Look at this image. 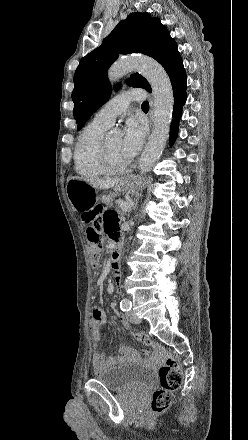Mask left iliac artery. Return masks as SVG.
I'll return each instance as SVG.
<instances>
[{"mask_svg": "<svg viewBox=\"0 0 248 440\" xmlns=\"http://www.w3.org/2000/svg\"><path fill=\"white\" fill-rule=\"evenodd\" d=\"M131 307H132V303L129 299L124 298L121 300L120 308L123 312H126V311L128 312L131 309Z\"/></svg>", "mask_w": 248, "mask_h": 440, "instance_id": "obj_1", "label": "left iliac artery"}]
</instances>
